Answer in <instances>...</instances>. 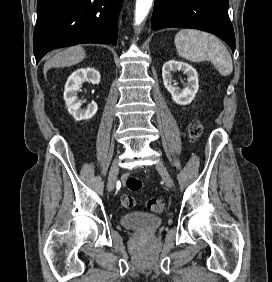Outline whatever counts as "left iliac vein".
<instances>
[{
  "label": "left iliac vein",
  "mask_w": 272,
  "mask_h": 282,
  "mask_svg": "<svg viewBox=\"0 0 272 282\" xmlns=\"http://www.w3.org/2000/svg\"><path fill=\"white\" fill-rule=\"evenodd\" d=\"M156 168H157L158 172L160 173L165 185L167 187H172V185H173L172 178H171L168 170L166 169L164 163L161 160L158 161Z\"/></svg>",
  "instance_id": "obj_1"
}]
</instances>
